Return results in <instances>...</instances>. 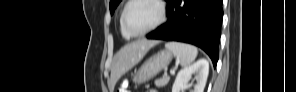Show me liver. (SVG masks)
I'll list each match as a JSON object with an SVG mask.
<instances>
[{"mask_svg":"<svg viewBox=\"0 0 296 92\" xmlns=\"http://www.w3.org/2000/svg\"><path fill=\"white\" fill-rule=\"evenodd\" d=\"M158 43V41L139 40L121 48L113 59L110 90L114 89L116 82L124 73L134 67L149 49Z\"/></svg>","mask_w":296,"mask_h":92,"instance_id":"obj_1","label":"liver"}]
</instances>
